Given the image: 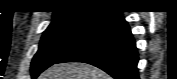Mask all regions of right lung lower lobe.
Here are the masks:
<instances>
[{"instance_id":"obj_1","label":"right lung lower lobe","mask_w":177,"mask_h":79,"mask_svg":"<svg viewBox=\"0 0 177 79\" xmlns=\"http://www.w3.org/2000/svg\"><path fill=\"white\" fill-rule=\"evenodd\" d=\"M92 64L115 79H139L138 54L130 28L121 12H110L73 49L56 63Z\"/></svg>"}]
</instances>
